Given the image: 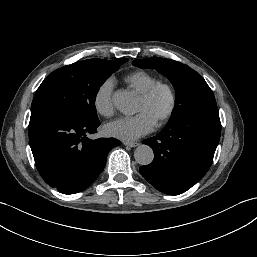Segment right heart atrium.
I'll return each mask as SVG.
<instances>
[{
  "label": "right heart atrium",
  "mask_w": 257,
  "mask_h": 257,
  "mask_svg": "<svg viewBox=\"0 0 257 257\" xmlns=\"http://www.w3.org/2000/svg\"><path fill=\"white\" fill-rule=\"evenodd\" d=\"M93 105L96 112L103 117H110L115 111L113 99V83L111 80H106L99 85L94 97Z\"/></svg>",
  "instance_id": "obj_1"
}]
</instances>
